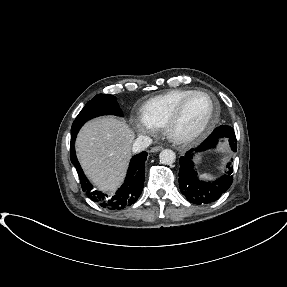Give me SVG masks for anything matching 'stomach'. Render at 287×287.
<instances>
[{"instance_id": "stomach-1", "label": "stomach", "mask_w": 287, "mask_h": 287, "mask_svg": "<svg viewBox=\"0 0 287 287\" xmlns=\"http://www.w3.org/2000/svg\"><path fill=\"white\" fill-rule=\"evenodd\" d=\"M201 160H202V156H201V154H199V155L195 156L194 162L198 164L201 162Z\"/></svg>"}]
</instances>
